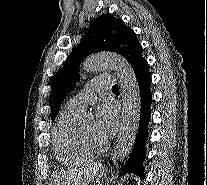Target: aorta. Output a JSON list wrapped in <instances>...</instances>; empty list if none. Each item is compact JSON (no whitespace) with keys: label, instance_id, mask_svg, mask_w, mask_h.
Returning <instances> with one entry per match:
<instances>
[{"label":"aorta","instance_id":"obj_1","mask_svg":"<svg viewBox=\"0 0 207 185\" xmlns=\"http://www.w3.org/2000/svg\"><path fill=\"white\" fill-rule=\"evenodd\" d=\"M86 72H96L111 69L117 73L122 96V120L117 143L112 156L114 172L109 178V184L118 183L120 164L125 161L132 151L138 131L141 96L135 72L128 61L118 54L100 53L91 55L82 64ZM85 116L82 119H87Z\"/></svg>","mask_w":207,"mask_h":185}]
</instances>
